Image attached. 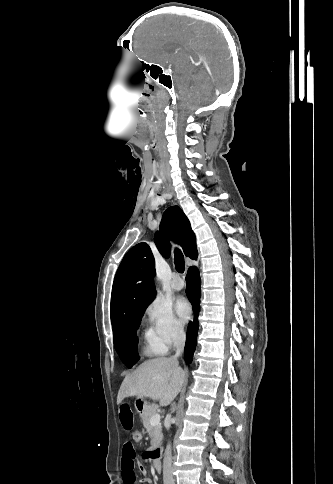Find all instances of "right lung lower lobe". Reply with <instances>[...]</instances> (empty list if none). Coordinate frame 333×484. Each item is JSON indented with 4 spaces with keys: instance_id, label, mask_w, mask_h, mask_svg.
Instances as JSON below:
<instances>
[{
    "instance_id": "right-lung-lower-lobe-1",
    "label": "right lung lower lobe",
    "mask_w": 333,
    "mask_h": 484,
    "mask_svg": "<svg viewBox=\"0 0 333 484\" xmlns=\"http://www.w3.org/2000/svg\"><path fill=\"white\" fill-rule=\"evenodd\" d=\"M187 281V296L191 301L195 311H198L200 302V277L199 271L196 267L192 266L188 269V274L186 277ZM198 331V322H190L188 325L186 344H185V359L188 363L192 361L193 353L196 347V338Z\"/></svg>"
}]
</instances>
